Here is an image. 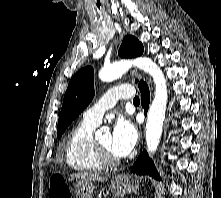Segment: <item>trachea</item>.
<instances>
[{
  "instance_id": "trachea-1",
  "label": "trachea",
  "mask_w": 221,
  "mask_h": 198,
  "mask_svg": "<svg viewBox=\"0 0 221 198\" xmlns=\"http://www.w3.org/2000/svg\"><path fill=\"white\" fill-rule=\"evenodd\" d=\"M133 103H134V104L140 103V99H139L138 97H135V98L133 99Z\"/></svg>"
}]
</instances>
